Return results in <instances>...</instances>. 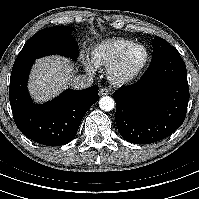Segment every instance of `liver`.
Returning <instances> with one entry per match:
<instances>
[{
    "label": "liver",
    "instance_id": "liver-1",
    "mask_svg": "<svg viewBox=\"0 0 199 199\" xmlns=\"http://www.w3.org/2000/svg\"><path fill=\"white\" fill-rule=\"evenodd\" d=\"M76 69L61 56H47L36 60L29 79L28 89L36 102H45L66 89Z\"/></svg>",
    "mask_w": 199,
    "mask_h": 199
}]
</instances>
